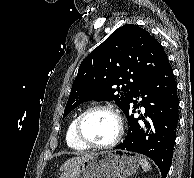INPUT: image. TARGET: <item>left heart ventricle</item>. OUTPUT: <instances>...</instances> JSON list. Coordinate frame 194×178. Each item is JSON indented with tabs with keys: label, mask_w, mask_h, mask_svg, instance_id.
Here are the masks:
<instances>
[{
	"label": "left heart ventricle",
	"mask_w": 194,
	"mask_h": 178,
	"mask_svg": "<svg viewBox=\"0 0 194 178\" xmlns=\"http://www.w3.org/2000/svg\"><path fill=\"white\" fill-rule=\"evenodd\" d=\"M82 133L92 143L106 144L115 137L117 122L114 116L106 111H92L83 120Z\"/></svg>",
	"instance_id": "b2bd125f"
}]
</instances>
